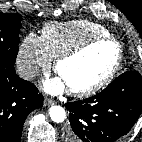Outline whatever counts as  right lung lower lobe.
I'll use <instances>...</instances> for the list:
<instances>
[{"label":"right lung lower lobe","instance_id":"right-lung-lower-lobe-1","mask_svg":"<svg viewBox=\"0 0 142 142\" xmlns=\"http://www.w3.org/2000/svg\"><path fill=\"white\" fill-rule=\"evenodd\" d=\"M43 105L34 84L0 66V142H20L27 115Z\"/></svg>","mask_w":142,"mask_h":142}]
</instances>
